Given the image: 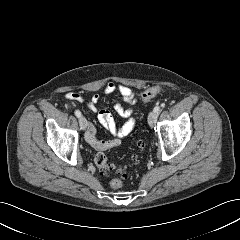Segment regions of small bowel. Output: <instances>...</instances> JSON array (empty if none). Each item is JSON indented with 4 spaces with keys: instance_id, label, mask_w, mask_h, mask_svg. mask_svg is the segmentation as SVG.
Wrapping results in <instances>:
<instances>
[{
    "instance_id": "1",
    "label": "small bowel",
    "mask_w": 240,
    "mask_h": 240,
    "mask_svg": "<svg viewBox=\"0 0 240 240\" xmlns=\"http://www.w3.org/2000/svg\"><path fill=\"white\" fill-rule=\"evenodd\" d=\"M102 92L106 95L118 92L124 103L133 105L136 102L134 90L124 84H116L114 82H108L102 89ZM66 98L71 101L83 102L84 97L77 92H70L66 95ZM100 101V95L94 94L86 102L87 107L97 114V120L99 124L108 130L113 138L109 140H99L96 138V127L93 123L87 124V131L85 134L87 142L96 150L105 151L115 148L120 145L121 140L129 135L135 126V118L133 116V110L131 108H125L121 103L116 102L114 104V111L121 117L127 119L122 125L118 126L112 113L107 109H99L98 103Z\"/></svg>"
}]
</instances>
